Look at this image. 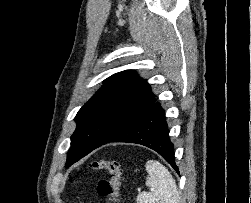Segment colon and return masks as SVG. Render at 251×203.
<instances>
[{
    "label": "colon",
    "instance_id": "colon-1",
    "mask_svg": "<svg viewBox=\"0 0 251 203\" xmlns=\"http://www.w3.org/2000/svg\"><path fill=\"white\" fill-rule=\"evenodd\" d=\"M89 168L96 171H105L107 179H102L97 184V192L105 199V203H119L120 185L123 169L119 162L103 158L93 160Z\"/></svg>",
    "mask_w": 251,
    "mask_h": 203
}]
</instances>
